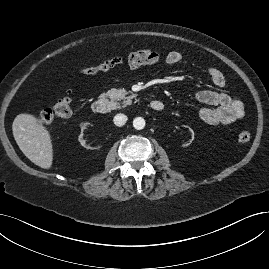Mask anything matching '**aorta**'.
<instances>
[{
  "mask_svg": "<svg viewBox=\"0 0 269 269\" xmlns=\"http://www.w3.org/2000/svg\"><path fill=\"white\" fill-rule=\"evenodd\" d=\"M133 127L136 130H142L145 127V120L142 117H136L133 120Z\"/></svg>",
  "mask_w": 269,
  "mask_h": 269,
  "instance_id": "1",
  "label": "aorta"
}]
</instances>
